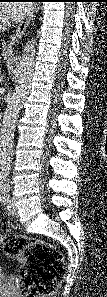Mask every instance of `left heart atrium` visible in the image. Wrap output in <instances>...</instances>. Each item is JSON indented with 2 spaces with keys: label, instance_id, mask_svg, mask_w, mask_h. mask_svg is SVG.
Segmentation results:
<instances>
[{
  "label": "left heart atrium",
  "instance_id": "1",
  "mask_svg": "<svg viewBox=\"0 0 107 297\" xmlns=\"http://www.w3.org/2000/svg\"><path fill=\"white\" fill-rule=\"evenodd\" d=\"M29 11V4L27 3H11L7 4L3 9L5 17L12 21L21 19Z\"/></svg>",
  "mask_w": 107,
  "mask_h": 297
}]
</instances>
